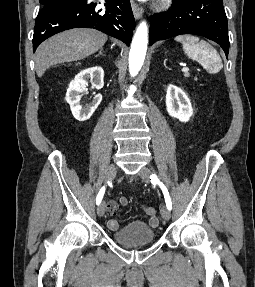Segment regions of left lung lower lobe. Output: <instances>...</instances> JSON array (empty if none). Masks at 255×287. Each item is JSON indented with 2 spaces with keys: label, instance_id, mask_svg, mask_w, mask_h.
<instances>
[{
  "label": "left lung lower lobe",
  "instance_id": "left-lung-lower-lobe-1",
  "mask_svg": "<svg viewBox=\"0 0 255 287\" xmlns=\"http://www.w3.org/2000/svg\"><path fill=\"white\" fill-rule=\"evenodd\" d=\"M181 34L204 36L229 52L227 17L222 0H173L169 11L150 19L149 44Z\"/></svg>",
  "mask_w": 255,
  "mask_h": 287
}]
</instances>
